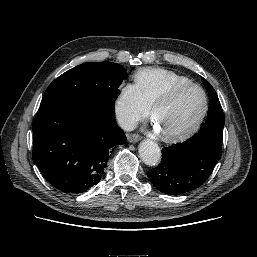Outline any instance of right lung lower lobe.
<instances>
[{"mask_svg":"<svg viewBox=\"0 0 257 257\" xmlns=\"http://www.w3.org/2000/svg\"><path fill=\"white\" fill-rule=\"evenodd\" d=\"M126 142L105 103L60 100L40 106L33 122V160L46 180L65 193L85 192L104 174L108 157Z\"/></svg>","mask_w":257,"mask_h":257,"instance_id":"obj_1","label":"right lung lower lobe"}]
</instances>
